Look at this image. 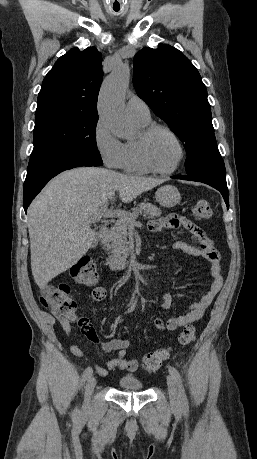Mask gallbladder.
I'll return each mask as SVG.
<instances>
[{"label":"gallbladder","mask_w":257,"mask_h":459,"mask_svg":"<svg viewBox=\"0 0 257 459\" xmlns=\"http://www.w3.org/2000/svg\"><path fill=\"white\" fill-rule=\"evenodd\" d=\"M96 246V241L93 243L92 247H95Z\"/></svg>","instance_id":"gallbladder-1"}]
</instances>
